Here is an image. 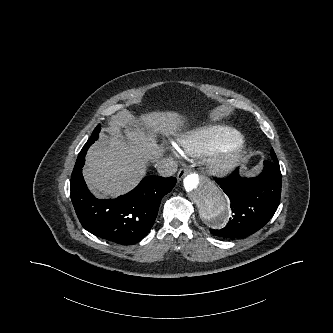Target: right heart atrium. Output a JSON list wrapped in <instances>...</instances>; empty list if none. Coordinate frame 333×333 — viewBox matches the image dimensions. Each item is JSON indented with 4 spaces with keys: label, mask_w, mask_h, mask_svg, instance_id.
Returning <instances> with one entry per match:
<instances>
[{
    "label": "right heart atrium",
    "mask_w": 333,
    "mask_h": 333,
    "mask_svg": "<svg viewBox=\"0 0 333 333\" xmlns=\"http://www.w3.org/2000/svg\"><path fill=\"white\" fill-rule=\"evenodd\" d=\"M171 153H172V154H177V151H176L175 149L172 148V149H171Z\"/></svg>",
    "instance_id": "obj_1"
}]
</instances>
